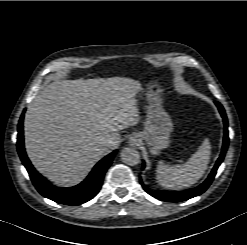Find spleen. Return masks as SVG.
<instances>
[{
  "label": "spleen",
  "instance_id": "3e777b00",
  "mask_svg": "<svg viewBox=\"0 0 247 245\" xmlns=\"http://www.w3.org/2000/svg\"><path fill=\"white\" fill-rule=\"evenodd\" d=\"M211 154L208 139H204L199 149L182 165L169 166L160 161L156 179L161 186L170 190H181L195 184L205 173Z\"/></svg>",
  "mask_w": 247,
  "mask_h": 245
}]
</instances>
